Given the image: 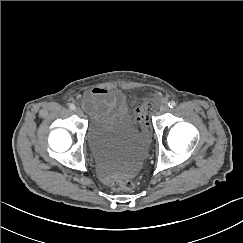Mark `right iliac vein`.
<instances>
[{"mask_svg": "<svg viewBox=\"0 0 243 243\" xmlns=\"http://www.w3.org/2000/svg\"><path fill=\"white\" fill-rule=\"evenodd\" d=\"M75 112H76V114H77L78 116H80V117L83 116V111H82L80 108H77V109L75 110Z\"/></svg>", "mask_w": 243, "mask_h": 243, "instance_id": "right-iliac-vein-1", "label": "right iliac vein"}]
</instances>
